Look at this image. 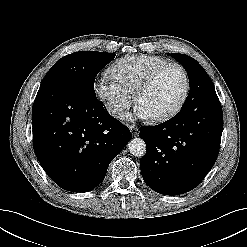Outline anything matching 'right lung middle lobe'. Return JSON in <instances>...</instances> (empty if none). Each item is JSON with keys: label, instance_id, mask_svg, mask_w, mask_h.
Instances as JSON below:
<instances>
[{"label": "right lung middle lobe", "instance_id": "right-lung-middle-lobe-1", "mask_svg": "<svg viewBox=\"0 0 247 247\" xmlns=\"http://www.w3.org/2000/svg\"><path fill=\"white\" fill-rule=\"evenodd\" d=\"M115 55L96 51H79L66 55L51 67L41 86L59 80H77L87 89L94 91L96 75Z\"/></svg>", "mask_w": 247, "mask_h": 247}]
</instances>
